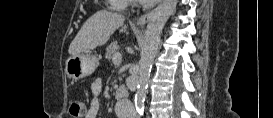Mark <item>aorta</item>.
I'll use <instances>...</instances> for the list:
<instances>
[{"label":"aorta","mask_w":273,"mask_h":118,"mask_svg":"<svg viewBox=\"0 0 273 118\" xmlns=\"http://www.w3.org/2000/svg\"><path fill=\"white\" fill-rule=\"evenodd\" d=\"M177 0H163L149 20L141 47L138 89L135 95V107L138 113L144 111V101L149 74L159 46L162 29L176 8Z\"/></svg>","instance_id":"obj_1"}]
</instances>
